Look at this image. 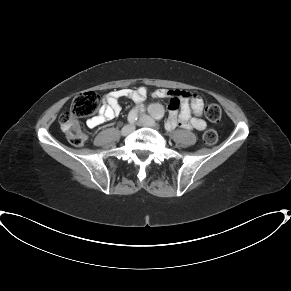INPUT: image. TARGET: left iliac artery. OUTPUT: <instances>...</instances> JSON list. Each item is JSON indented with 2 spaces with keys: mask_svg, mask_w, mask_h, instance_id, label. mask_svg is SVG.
Masks as SVG:
<instances>
[{
  "mask_svg": "<svg viewBox=\"0 0 291 291\" xmlns=\"http://www.w3.org/2000/svg\"><path fill=\"white\" fill-rule=\"evenodd\" d=\"M156 119L158 120V119H160V117H159V116H157V117H156Z\"/></svg>",
  "mask_w": 291,
  "mask_h": 291,
  "instance_id": "left-iliac-artery-1",
  "label": "left iliac artery"
}]
</instances>
